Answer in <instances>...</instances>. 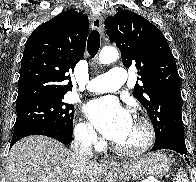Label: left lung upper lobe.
<instances>
[{
    "label": "left lung upper lobe",
    "mask_w": 196,
    "mask_h": 182,
    "mask_svg": "<svg viewBox=\"0 0 196 182\" xmlns=\"http://www.w3.org/2000/svg\"><path fill=\"white\" fill-rule=\"evenodd\" d=\"M105 28L115 42L125 67L135 66L140 84L133 95L146 109L156 135L184 141L182 97L177 66L162 32L142 16L128 10L107 17Z\"/></svg>",
    "instance_id": "1"
}]
</instances>
